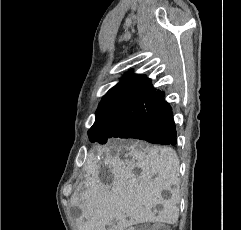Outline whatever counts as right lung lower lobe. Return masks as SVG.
Listing matches in <instances>:
<instances>
[{
  "label": "right lung lower lobe",
  "instance_id": "98d812e1",
  "mask_svg": "<svg viewBox=\"0 0 241 230\" xmlns=\"http://www.w3.org/2000/svg\"><path fill=\"white\" fill-rule=\"evenodd\" d=\"M144 124L136 128V138L153 144L175 145L176 126L173 120L172 108L160 91L146 104Z\"/></svg>",
  "mask_w": 241,
  "mask_h": 230
}]
</instances>
